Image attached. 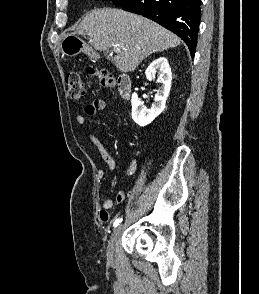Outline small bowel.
Listing matches in <instances>:
<instances>
[{
  "label": "small bowel",
  "instance_id": "c3829d8e",
  "mask_svg": "<svg viewBox=\"0 0 259 294\" xmlns=\"http://www.w3.org/2000/svg\"><path fill=\"white\" fill-rule=\"evenodd\" d=\"M106 108V102L102 99H96L92 101L91 103L87 104L84 109L83 114H78L76 116V122L78 124H84L86 121V116H95L98 114L100 111H103ZM90 142L94 146V148L99 152L103 162L105 163L106 167L109 170H114L116 167L115 161L112 158V156L108 153V151L105 149L102 140L99 136L94 135V134H89L88 135ZM136 164L133 161L128 170H127V175H131L134 170H135ZM97 177L99 180H102L105 177V171L100 169L97 172ZM116 200L118 203H123L125 200V195L122 191H118ZM113 206V201L110 198H105L102 203H101V209L99 211V219L103 223H107L109 221V210Z\"/></svg>",
  "mask_w": 259,
  "mask_h": 294
}]
</instances>
